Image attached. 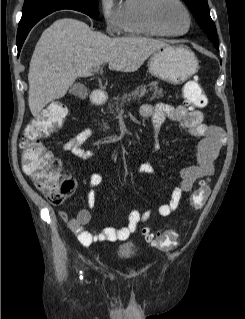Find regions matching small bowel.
<instances>
[{"mask_svg": "<svg viewBox=\"0 0 245 319\" xmlns=\"http://www.w3.org/2000/svg\"><path fill=\"white\" fill-rule=\"evenodd\" d=\"M141 116L151 119L155 131L166 121L176 122L180 128L190 137L199 140L197 144L196 164L185 167L181 171V182L172 187L168 202L158 208V214L162 217L169 216L179 207L182 195L190 192L194 184L201 178L213 173L214 162L219 149L224 144L225 133L217 127L203 123V114L200 110L185 105L172 106L165 103L156 105L144 104L140 109ZM93 137V131L89 128L83 129L73 135L64 143L63 149L78 158H88L91 152L85 150L83 145ZM140 171L152 174L154 169L151 165H142ZM104 182L101 173H93L88 178L90 190L87 192L89 209L81 210L76 217L69 218L66 211H60L59 217L65 221L69 229L76 235L82 245L89 246L96 242H119L127 240L138 227L152 217L151 210L140 211L132 209L128 215V224L125 227H107L101 231H89L85 228L91 218L90 210L95 207L96 195L93 188Z\"/></svg>", "mask_w": 245, "mask_h": 319, "instance_id": "c3829d8e", "label": "small bowel"}]
</instances>
